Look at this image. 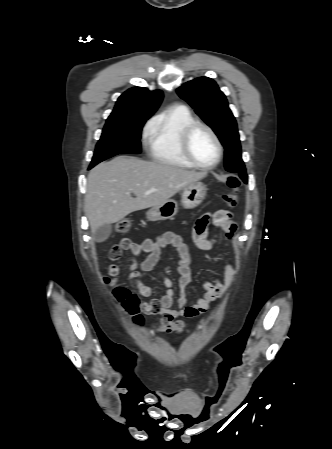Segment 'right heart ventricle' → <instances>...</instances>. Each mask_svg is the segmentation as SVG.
<instances>
[{
  "instance_id": "1",
  "label": "right heart ventricle",
  "mask_w": 332,
  "mask_h": 449,
  "mask_svg": "<svg viewBox=\"0 0 332 449\" xmlns=\"http://www.w3.org/2000/svg\"><path fill=\"white\" fill-rule=\"evenodd\" d=\"M195 121L190 110L179 105L170 108L151 122L147 146L150 156L169 165L192 167L180 149V136L183 129Z\"/></svg>"
}]
</instances>
